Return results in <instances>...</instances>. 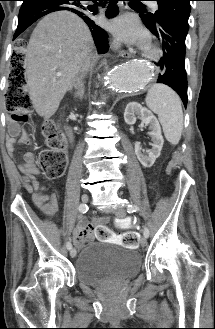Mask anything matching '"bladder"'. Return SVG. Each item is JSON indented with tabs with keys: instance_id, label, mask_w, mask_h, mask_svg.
Here are the masks:
<instances>
[{
	"instance_id": "obj_1",
	"label": "bladder",
	"mask_w": 215,
	"mask_h": 329,
	"mask_svg": "<svg viewBox=\"0 0 215 329\" xmlns=\"http://www.w3.org/2000/svg\"><path fill=\"white\" fill-rule=\"evenodd\" d=\"M139 254L130 248L100 241L85 246L75 262L79 282L96 286L109 279H128L139 273Z\"/></svg>"
}]
</instances>
